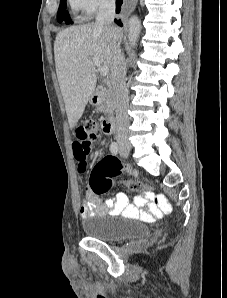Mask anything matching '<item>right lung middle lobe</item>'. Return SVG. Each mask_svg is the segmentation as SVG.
I'll list each match as a JSON object with an SVG mask.
<instances>
[{"label":"right lung middle lobe","mask_w":227,"mask_h":298,"mask_svg":"<svg viewBox=\"0 0 227 298\" xmlns=\"http://www.w3.org/2000/svg\"><path fill=\"white\" fill-rule=\"evenodd\" d=\"M60 1H61V4H60L58 14H57L58 22H62L64 20L67 24H69V23H71V20H70L68 13L65 12L66 0H60Z\"/></svg>","instance_id":"1"}]
</instances>
